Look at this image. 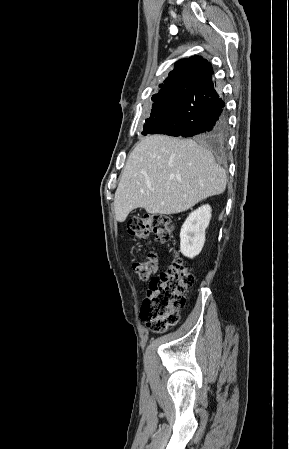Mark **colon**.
<instances>
[{
  "label": "colon",
  "instance_id": "5ec220e1",
  "mask_svg": "<svg viewBox=\"0 0 289 449\" xmlns=\"http://www.w3.org/2000/svg\"><path fill=\"white\" fill-rule=\"evenodd\" d=\"M127 229L134 238L145 239L153 233L161 243H168L174 223L165 215L145 214L130 219ZM133 269L141 280L149 281L141 317L152 331L163 333L179 321V313L185 306L186 292L193 285L194 276L181 259H176L165 272L155 277L157 256L152 251L145 259L134 261Z\"/></svg>",
  "mask_w": 289,
  "mask_h": 449
}]
</instances>
